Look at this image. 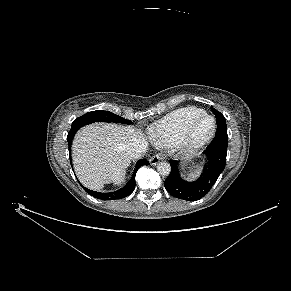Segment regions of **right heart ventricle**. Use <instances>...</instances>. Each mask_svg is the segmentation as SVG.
Returning <instances> with one entry per match:
<instances>
[{"label":"right heart ventricle","mask_w":291,"mask_h":291,"mask_svg":"<svg viewBox=\"0 0 291 291\" xmlns=\"http://www.w3.org/2000/svg\"><path fill=\"white\" fill-rule=\"evenodd\" d=\"M203 114L205 111L197 107L177 109L154 123L148 134L158 145L174 144L183 136L189 125Z\"/></svg>","instance_id":"e07e8e85"}]
</instances>
